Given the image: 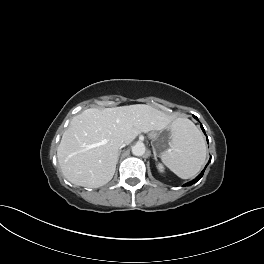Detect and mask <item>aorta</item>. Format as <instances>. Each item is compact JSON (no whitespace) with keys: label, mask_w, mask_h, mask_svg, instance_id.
Returning a JSON list of instances; mask_svg holds the SVG:
<instances>
[{"label":"aorta","mask_w":264,"mask_h":264,"mask_svg":"<svg viewBox=\"0 0 264 264\" xmlns=\"http://www.w3.org/2000/svg\"><path fill=\"white\" fill-rule=\"evenodd\" d=\"M146 147L143 143H137L132 147V153L135 156H142L145 154Z\"/></svg>","instance_id":"aorta-1"}]
</instances>
